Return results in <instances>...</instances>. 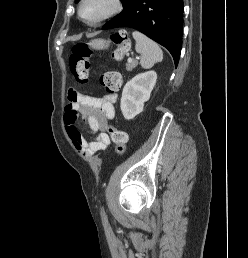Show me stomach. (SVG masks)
Masks as SVG:
<instances>
[{
	"instance_id": "stomach-1",
	"label": "stomach",
	"mask_w": 248,
	"mask_h": 258,
	"mask_svg": "<svg viewBox=\"0 0 248 258\" xmlns=\"http://www.w3.org/2000/svg\"><path fill=\"white\" fill-rule=\"evenodd\" d=\"M88 45L95 50H104L109 47L110 42L104 39H94Z\"/></svg>"
}]
</instances>
